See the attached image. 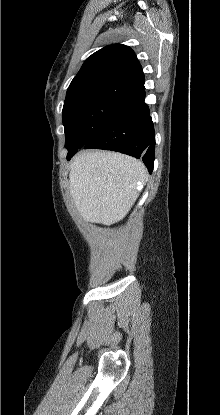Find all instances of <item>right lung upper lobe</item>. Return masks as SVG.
<instances>
[{
    "label": "right lung upper lobe",
    "instance_id": "obj_1",
    "mask_svg": "<svg viewBox=\"0 0 220 415\" xmlns=\"http://www.w3.org/2000/svg\"><path fill=\"white\" fill-rule=\"evenodd\" d=\"M99 78H116L139 88L145 81L134 51L123 44L109 45L92 54L70 86Z\"/></svg>",
    "mask_w": 220,
    "mask_h": 415
}]
</instances>
